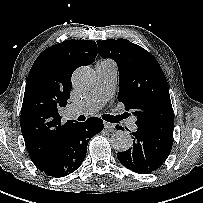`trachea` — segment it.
I'll return each mask as SVG.
<instances>
[{
    "label": "trachea",
    "instance_id": "3493384b",
    "mask_svg": "<svg viewBox=\"0 0 203 203\" xmlns=\"http://www.w3.org/2000/svg\"><path fill=\"white\" fill-rule=\"evenodd\" d=\"M81 117H84V116H79L78 119L80 120ZM102 118L105 121L112 122V123H117L121 119H123L124 117L123 116H112V115H109V114H104V115H102Z\"/></svg>",
    "mask_w": 203,
    "mask_h": 203
}]
</instances>
